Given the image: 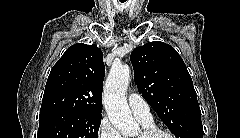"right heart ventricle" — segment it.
I'll use <instances>...</instances> for the list:
<instances>
[{"mask_svg": "<svg viewBox=\"0 0 240 138\" xmlns=\"http://www.w3.org/2000/svg\"><path fill=\"white\" fill-rule=\"evenodd\" d=\"M138 120L140 121V123L142 124L143 127L153 125L152 119L142 120V119L138 118Z\"/></svg>", "mask_w": 240, "mask_h": 138, "instance_id": "1", "label": "right heart ventricle"}]
</instances>
